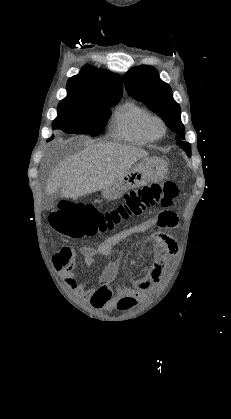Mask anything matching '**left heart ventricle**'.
<instances>
[{"instance_id":"obj_1","label":"left heart ventricle","mask_w":231,"mask_h":419,"mask_svg":"<svg viewBox=\"0 0 231 419\" xmlns=\"http://www.w3.org/2000/svg\"><path fill=\"white\" fill-rule=\"evenodd\" d=\"M152 129L156 133L160 132V126L157 123L152 124Z\"/></svg>"}]
</instances>
